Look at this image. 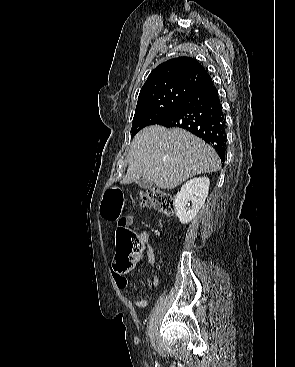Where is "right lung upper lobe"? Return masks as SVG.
I'll list each match as a JSON object with an SVG mask.
<instances>
[{
  "instance_id": "obj_1",
  "label": "right lung upper lobe",
  "mask_w": 295,
  "mask_h": 367,
  "mask_svg": "<svg viewBox=\"0 0 295 367\" xmlns=\"http://www.w3.org/2000/svg\"><path fill=\"white\" fill-rule=\"evenodd\" d=\"M209 83L210 76L197 60L190 57L173 58L152 70L138 99L178 87L195 92Z\"/></svg>"
}]
</instances>
